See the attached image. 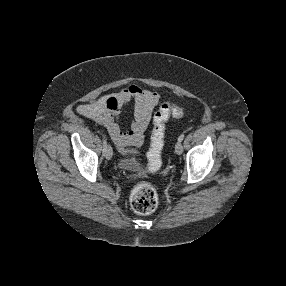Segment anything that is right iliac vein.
<instances>
[{
    "instance_id": "1",
    "label": "right iliac vein",
    "mask_w": 286,
    "mask_h": 286,
    "mask_svg": "<svg viewBox=\"0 0 286 286\" xmlns=\"http://www.w3.org/2000/svg\"><path fill=\"white\" fill-rule=\"evenodd\" d=\"M112 154H113L112 148L110 145H108L105 152L106 159L110 160L112 158Z\"/></svg>"
}]
</instances>
